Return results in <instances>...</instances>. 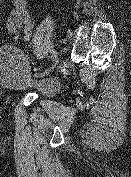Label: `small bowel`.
<instances>
[{
  "mask_svg": "<svg viewBox=\"0 0 131 177\" xmlns=\"http://www.w3.org/2000/svg\"><path fill=\"white\" fill-rule=\"evenodd\" d=\"M13 9L11 10L3 33L17 41L22 36L28 41L32 34V18L28 11L27 0H12Z\"/></svg>",
  "mask_w": 131,
  "mask_h": 177,
  "instance_id": "small-bowel-1",
  "label": "small bowel"
}]
</instances>
